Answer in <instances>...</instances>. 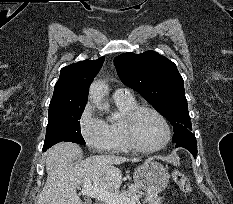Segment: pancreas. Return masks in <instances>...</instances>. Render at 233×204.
Instances as JSON below:
<instances>
[{
  "instance_id": "1",
  "label": "pancreas",
  "mask_w": 233,
  "mask_h": 204,
  "mask_svg": "<svg viewBox=\"0 0 233 204\" xmlns=\"http://www.w3.org/2000/svg\"><path fill=\"white\" fill-rule=\"evenodd\" d=\"M140 194L145 197L143 204H161L162 198L157 193H152L142 189L139 185L133 184L127 190L121 191L120 195L131 198L134 195Z\"/></svg>"
}]
</instances>
